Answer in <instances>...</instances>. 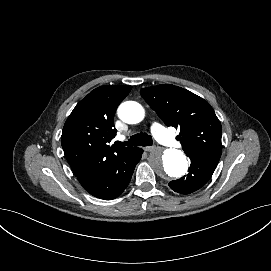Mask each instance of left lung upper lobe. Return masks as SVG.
<instances>
[{"instance_id":"5c2ea615","label":"left lung upper lobe","mask_w":271,"mask_h":271,"mask_svg":"<svg viewBox=\"0 0 271 271\" xmlns=\"http://www.w3.org/2000/svg\"><path fill=\"white\" fill-rule=\"evenodd\" d=\"M140 94L167 126L180 129L176 139L186 155L208 153L220 159L222 128L208 102L171 84L144 88Z\"/></svg>"}]
</instances>
